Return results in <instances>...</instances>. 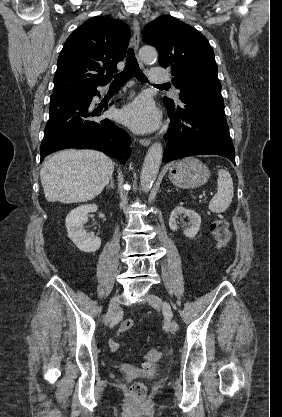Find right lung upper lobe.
<instances>
[{"label": "right lung upper lobe", "mask_w": 282, "mask_h": 417, "mask_svg": "<svg viewBox=\"0 0 282 417\" xmlns=\"http://www.w3.org/2000/svg\"><path fill=\"white\" fill-rule=\"evenodd\" d=\"M130 36L125 23L109 17L96 16L83 23L68 37L58 57L53 94L109 83L125 57Z\"/></svg>", "instance_id": "obj_1"}]
</instances>
